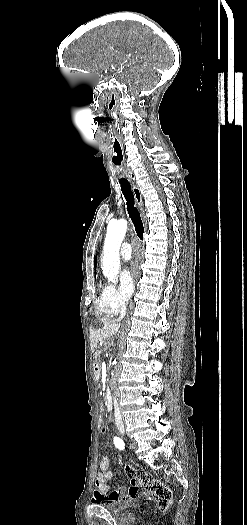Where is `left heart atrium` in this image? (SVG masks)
Wrapping results in <instances>:
<instances>
[{"mask_svg": "<svg viewBox=\"0 0 247 525\" xmlns=\"http://www.w3.org/2000/svg\"><path fill=\"white\" fill-rule=\"evenodd\" d=\"M144 268V254L140 249H136L133 259L129 266L125 267L121 273V283L126 296H129L134 288L135 281L141 276Z\"/></svg>", "mask_w": 247, "mask_h": 525, "instance_id": "left-heart-atrium-1", "label": "left heart atrium"}]
</instances>
